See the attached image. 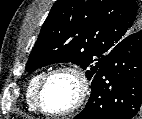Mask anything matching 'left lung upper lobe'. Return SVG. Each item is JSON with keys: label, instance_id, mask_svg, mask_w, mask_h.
Returning a JSON list of instances; mask_svg holds the SVG:
<instances>
[{"label": "left lung upper lobe", "instance_id": "1", "mask_svg": "<svg viewBox=\"0 0 142 119\" xmlns=\"http://www.w3.org/2000/svg\"><path fill=\"white\" fill-rule=\"evenodd\" d=\"M142 25L135 0H57L26 64L28 72L72 62L92 79L108 53Z\"/></svg>", "mask_w": 142, "mask_h": 119}]
</instances>
